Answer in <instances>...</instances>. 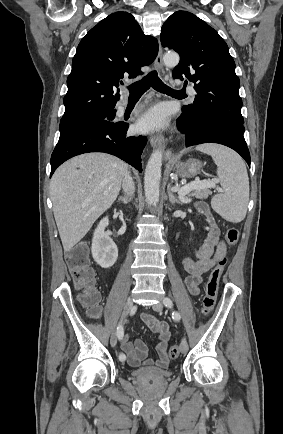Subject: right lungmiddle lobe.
<instances>
[{
    "mask_svg": "<svg viewBox=\"0 0 283 434\" xmlns=\"http://www.w3.org/2000/svg\"><path fill=\"white\" fill-rule=\"evenodd\" d=\"M110 112L111 111L100 113V114H97L94 116L85 117V118L61 119V121H60V133L66 131L72 127L80 125L82 123L88 122V121L111 119Z\"/></svg>",
    "mask_w": 283,
    "mask_h": 434,
    "instance_id": "dd1d6c3e",
    "label": "right lung middle lobe"
}]
</instances>
